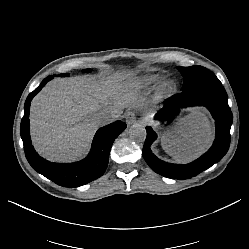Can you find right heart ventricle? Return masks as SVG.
<instances>
[{"label": "right heart ventricle", "instance_id": "1", "mask_svg": "<svg viewBox=\"0 0 249 249\" xmlns=\"http://www.w3.org/2000/svg\"><path fill=\"white\" fill-rule=\"evenodd\" d=\"M162 79H164V76L161 74H151V75L146 76L142 80V83L144 86H150V85H153V84L159 82Z\"/></svg>", "mask_w": 249, "mask_h": 249}]
</instances>
